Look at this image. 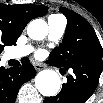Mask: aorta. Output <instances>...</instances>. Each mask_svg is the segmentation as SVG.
Segmentation results:
<instances>
[{
    "mask_svg": "<svg viewBox=\"0 0 103 103\" xmlns=\"http://www.w3.org/2000/svg\"><path fill=\"white\" fill-rule=\"evenodd\" d=\"M27 34L33 40H42L48 34V25L42 19H35L27 26ZM38 91L47 97L55 96L61 85L59 75L53 70H43L35 78Z\"/></svg>",
    "mask_w": 103,
    "mask_h": 103,
    "instance_id": "762f6f07",
    "label": "aorta"
}]
</instances>
